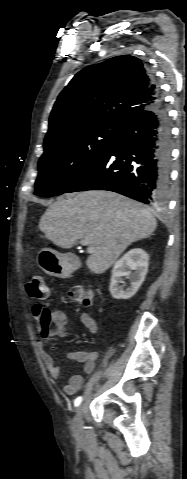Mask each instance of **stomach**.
<instances>
[{
	"label": "stomach",
	"instance_id": "1",
	"mask_svg": "<svg viewBox=\"0 0 187 479\" xmlns=\"http://www.w3.org/2000/svg\"><path fill=\"white\" fill-rule=\"evenodd\" d=\"M37 262L39 267L51 276L66 278L72 272L67 256L49 248H43L38 253Z\"/></svg>",
	"mask_w": 187,
	"mask_h": 479
}]
</instances>
